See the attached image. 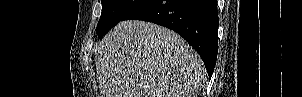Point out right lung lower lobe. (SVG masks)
<instances>
[{"label":"right lung lower lobe","instance_id":"right-lung-lower-lobe-1","mask_svg":"<svg viewBox=\"0 0 302 97\" xmlns=\"http://www.w3.org/2000/svg\"><path fill=\"white\" fill-rule=\"evenodd\" d=\"M131 19L177 32L199 53L211 78L218 52L217 0H142L122 21Z\"/></svg>","mask_w":302,"mask_h":97}]
</instances>
